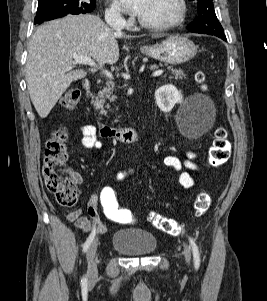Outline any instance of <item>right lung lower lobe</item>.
Here are the masks:
<instances>
[{
	"instance_id": "obj_1",
	"label": "right lung lower lobe",
	"mask_w": 267,
	"mask_h": 301,
	"mask_svg": "<svg viewBox=\"0 0 267 301\" xmlns=\"http://www.w3.org/2000/svg\"><path fill=\"white\" fill-rule=\"evenodd\" d=\"M63 16H64V15H63ZM59 17H62V16L51 17V18H49V19H47V20H45V21L52 20V19L59 18ZM41 23H42V22H41ZM39 24H40V23H39Z\"/></svg>"
}]
</instances>
